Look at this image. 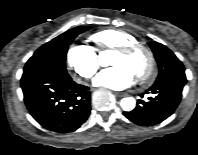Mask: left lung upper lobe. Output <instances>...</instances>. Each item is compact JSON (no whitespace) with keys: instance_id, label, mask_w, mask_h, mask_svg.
Returning a JSON list of instances; mask_svg holds the SVG:
<instances>
[{"instance_id":"1","label":"left lung upper lobe","mask_w":198,"mask_h":155,"mask_svg":"<svg viewBox=\"0 0 198 155\" xmlns=\"http://www.w3.org/2000/svg\"><path fill=\"white\" fill-rule=\"evenodd\" d=\"M148 44L154 53L159 67V74L155 83L175 77L186 78L183 64L171 50L157 42H149Z\"/></svg>"}]
</instances>
